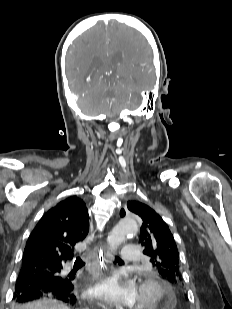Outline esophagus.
Here are the masks:
<instances>
[{"label": "esophagus", "mask_w": 232, "mask_h": 309, "mask_svg": "<svg viewBox=\"0 0 232 309\" xmlns=\"http://www.w3.org/2000/svg\"><path fill=\"white\" fill-rule=\"evenodd\" d=\"M91 256L94 280H98L102 274V270L109 262L110 252L108 251L106 245L103 244L100 250L98 247H95L93 250H91Z\"/></svg>", "instance_id": "1"}]
</instances>
